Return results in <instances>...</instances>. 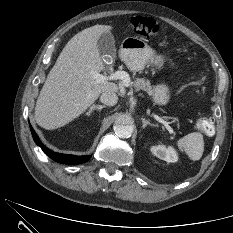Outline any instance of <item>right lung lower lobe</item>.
Wrapping results in <instances>:
<instances>
[{
  "label": "right lung lower lobe",
  "instance_id": "98d812e1",
  "mask_svg": "<svg viewBox=\"0 0 233 233\" xmlns=\"http://www.w3.org/2000/svg\"><path fill=\"white\" fill-rule=\"evenodd\" d=\"M30 129H31V133H32L35 143L38 146H40L41 149L44 151V153L48 155L54 161L59 162V163H64V164H80V163L87 162L90 159L89 156H85V155L75 156V155H68V154H61V153L53 152L52 150L48 149L41 143L39 137L37 136V134L35 133L31 125H30Z\"/></svg>",
  "mask_w": 233,
  "mask_h": 233
}]
</instances>
